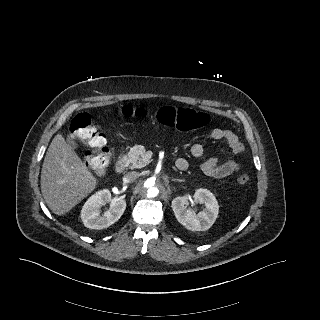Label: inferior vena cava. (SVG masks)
<instances>
[{
    "instance_id": "inferior-vena-cava-1",
    "label": "inferior vena cava",
    "mask_w": 320,
    "mask_h": 320,
    "mask_svg": "<svg viewBox=\"0 0 320 320\" xmlns=\"http://www.w3.org/2000/svg\"><path fill=\"white\" fill-rule=\"evenodd\" d=\"M138 177H139L138 172H135V171L128 172V173L123 177V181L126 182V183L133 182V181H135Z\"/></svg>"
}]
</instances>
